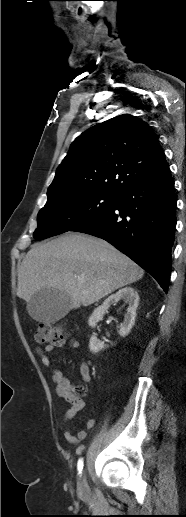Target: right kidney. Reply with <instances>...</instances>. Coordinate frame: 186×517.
I'll return each mask as SVG.
<instances>
[{"label":"right kidney","instance_id":"1","mask_svg":"<svg viewBox=\"0 0 186 517\" xmlns=\"http://www.w3.org/2000/svg\"><path fill=\"white\" fill-rule=\"evenodd\" d=\"M123 300L128 304L127 312L124 316V321L120 325L119 335L125 337L129 334L131 328L135 323L136 309L139 304L138 292L132 287H125L120 289L115 294L109 296L101 306L97 307L92 315L89 317L88 324L94 328L96 323L102 320L103 315L107 312L111 305H115L118 301ZM106 345L104 342L97 339L95 335L90 338L89 348L92 353H98L104 349Z\"/></svg>","mask_w":186,"mask_h":517}]
</instances>
